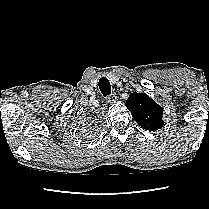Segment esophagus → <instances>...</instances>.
<instances>
[{
	"mask_svg": "<svg viewBox=\"0 0 209 209\" xmlns=\"http://www.w3.org/2000/svg\"><path fill=\"white\" fill-rule=\"evenodd\" d=\"M108 103H114L118 100L115 94H111L110 96L106 97Z\"/></svg>",
	"mask_w": 209,
	"mask_h": 209,
	"instance_id": "1",
	"label": "esophagus"
}]
</instances>
